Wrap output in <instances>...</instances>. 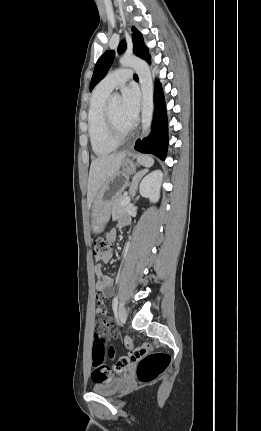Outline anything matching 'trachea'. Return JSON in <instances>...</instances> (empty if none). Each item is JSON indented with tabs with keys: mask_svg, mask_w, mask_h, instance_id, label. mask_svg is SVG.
Listing matches in <instances>:
<instances>
[{
	"mask_svg": "<svg viewBox=\"0 0 261 431\" xmlns=\"http://www.w3.org/2000/svg\"><path fill=\"white\" fill-rule=\"evenodd\" d=\"M133 78L134 79H138V76L136 74H134Z\"/></svg>",
	"mask_w": 261,
	"mask_h": 431,
	"instance_id": "trachea-1",
	"label": "trachea"
}]
</instances>
